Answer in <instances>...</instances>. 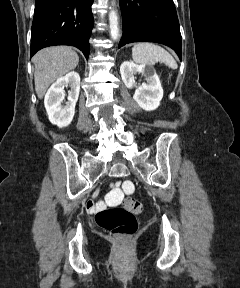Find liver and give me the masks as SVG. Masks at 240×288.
<instances>
[{"label":"liver","instance_id":"6515ba94","mask_svg":"<svg viewBox=\"0 0 240 288\" xmlns=\"http://www.w3.org/2000/svg\"><path fill=\"white\" fill-rule=\"evenodd\" d=\"M32 61L35 65V91L39 99L57 79L75 69L79 62L78 54L70 47H48L37 52Z\"/></svg>","mask_w":240,"mask_h":288}]
</instances>
